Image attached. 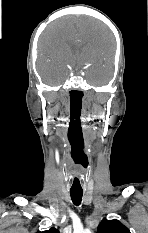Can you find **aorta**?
I'll return each instance as SVG.
<instances>
[{"label": "aorta", "mask_w": 148, "mask_h": 233, "mask_svg": "<svg viewBox=\"0 0 148 233\" xmlns=\"http://www.w3.org/2000/svg\"><path fill=\"white\" fill-rule=\"evenodd\" d=\"M81 233H91L90 230H81Z\"/></svg>", "instance_id": "obj_1"}]
</instances>
